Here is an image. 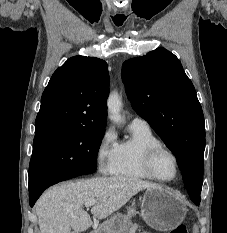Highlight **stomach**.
<instances>
[{
  "instance_id": "obj_1",
  "label": "stomach",
  "mask_w": 227,
  "mask_h": 233,
  "mask_svg": "<svg viewBox=\"0 0 227 233\" xmlns=\"http://www.w3.org/2000/svg\"><path fill=\"white\" fill-rule=\"evenodd\" d=\"M140 208V212L136 211ZM187 208L172 191L165 188L146 189L136 205L128 208V214H116L105 222L99 233H125L130 218L140 213L144 221L158 231H171L184 220Z\"/></svg>"
}]
</instances>
